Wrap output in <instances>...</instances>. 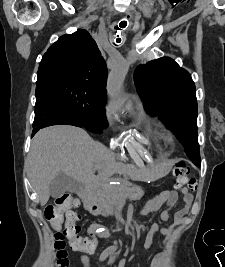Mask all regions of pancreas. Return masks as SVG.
<instances>
[{
	"label": "pancreas",
	"instance_id": "cf45deb5",
	"mask_svg": "<svg viewBox=\"0 0 225 267\" xmlns=\"http://www.w3.org/2000/svg\"><path fill=\"white\" fill-rule=\"evenodd\" d=\"M143 195L144 191L141 187L132 186L130 183L123 188L101 184L95 192L100 212L104 216L118 211V205L124 203L126 199L139 200Z\"/></svg>",
	"mask_w": 225,
	"mask_h": 267
}]
</instances>
